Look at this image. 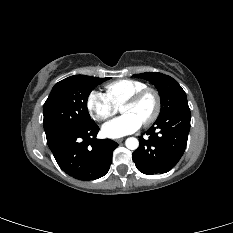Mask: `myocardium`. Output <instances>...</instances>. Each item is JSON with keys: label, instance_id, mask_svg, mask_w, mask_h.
Masks as SVG:
<instances>
[{"label": "myocardium", "instance_id": "1", "mask_svg": "<svg viewBox=\"0 0 233 233\" xmlns=\"http://www.w3.org/2000/svg\"><path fill=\"white\" fill-rule=\"evenodd\" d=\"M148 94L153 95V97L155 99V109H154L153 114L146 121H144L142 123L143 126H149V125L153 124L158 119V117L161 113V108H162L161 97H160V94L157 90H155L153 88L146 87L142 90L137 91L133 95H131L121 105V107L127 106V105H134V104L138 103L143 97H145Z\"/></svg>", "mask_w": 233, "mask_h": 233}]
</instances>
